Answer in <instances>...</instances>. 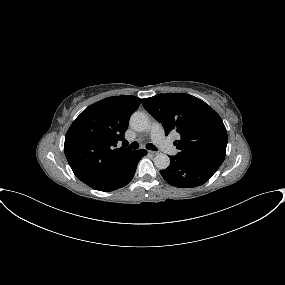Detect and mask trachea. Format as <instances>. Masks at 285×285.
Segmentation results:
<instances>
[{
	"label": "trachea",
	"mask_w": 285,
	"mask_h": 285,
	"mask_svg": "<svg viewBox=\"0 0 285 285\" xmlns=\"http://www.w3.org/2000/svg\"><path fill=\"white\" fill-rule=\"evenodd\" d=\"M129 149H138L139 148V144L137 142H133L128 146ZM146 148L148 150H153V151H157V148L153 145V144H147Z\"/></svg>",
	"instance_id": "1"
}]
</instances>
